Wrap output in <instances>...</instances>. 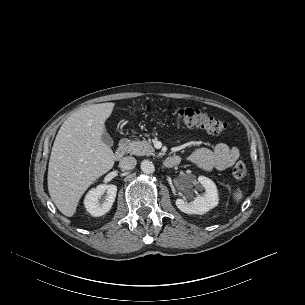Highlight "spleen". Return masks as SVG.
Returning <instances> with one entry per match:
<instances>
[{
	"mask_svg": "<svg viewBox=\"0 0 305 305\" xmlns=\"http://www.w3.org/2000/svg\"><path fill=\"white\" fill-rule=\"evenodd\" d=\"M233 198L235 201L239 202L243 198V192L238 189L233 193Z\"/></svg>",
	"mask_w": 305,
	"mask_h": 305,
	"instance_id": "1",
	"label": "spleen"
}]
</instances>
